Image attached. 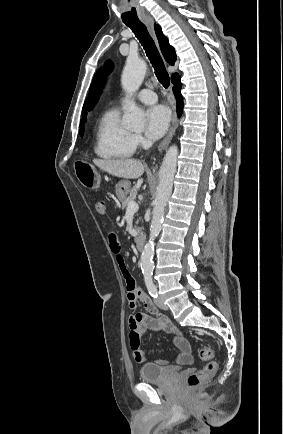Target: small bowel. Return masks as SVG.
I'll use <instances>...</instances> for the list:
<instances>
[{
  "label": "small bowel",
  "mask_w": 283,
  "mask_h": 434,
  "mask_svg": "<svg viewBox=\"0 0 283 434\" xmlns=\"http://www.w3.org/2000/svg\"><path fill=\"white\" fill-rule=\"evenodd\" d=\"M95 209L100 215L107 213V205L104 201H98ZM108 242L111 251L116 255L117 263L125 280L127 299L131 309L134 310L136 302L140 300L146 311L153 315L134 312L129 317L130 346L134 360L138 364L147 362V357L140 348L141 336L147 330H163L173 335V343L178 348L179 353L172 360L159 359L156 364L159 366H181L190 363L192 361L190 343L176 325L166 315L160 313L151 299L136 285L135 280L126 269L123 257L120 255V243L115 233L109 234Z\"/></svg>",
  "instance_id": "c3829d8e"
}]
</instances>
